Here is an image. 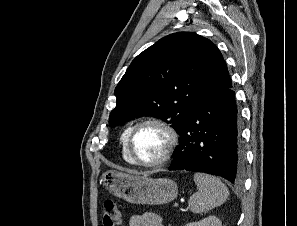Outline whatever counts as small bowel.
<instances>
[{"label": "small bowel", "mask_w": 297, "mask_h": 226, "mask_svg": "<svg viewBox=\"0 0 297 226\" xmlns=\"http://www.w3.org/2000/svg\"><path fill=\"white\" fill-rule=\"evenodd\" d=\"M129 226H164L161 218L152 213L135 214L129 219Z\"/></svg>", "instance_id": "c3829d8e"}]
</instances>
